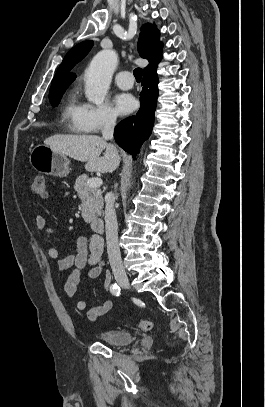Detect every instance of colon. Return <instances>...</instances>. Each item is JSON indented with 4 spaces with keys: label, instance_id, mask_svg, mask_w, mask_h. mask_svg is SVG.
Wrapping results in <instances>:
<instances>
[{
    "label": "colon",
    "instance_id": "5ec220e1",
    "mask_svg": "<svg viewBox=\"0 0 265 407\" xmlns=\"http://www.w3.org/2000/svg\"><path fill=\"white\" fill-rule=\"evenodd\" d=\"M32 193L37 196H45L47 194L46 179L43 176H36L31 186ZM139 327L143 330H150L152 323L149 320L141 319L138 321Z\"/></svg>",
    "mask_w": 265,
    "mask_h": 407
}]
</instances>
